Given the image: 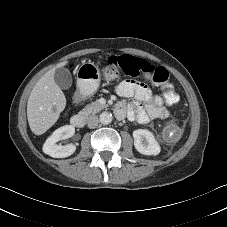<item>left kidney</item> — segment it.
Instances as JSON below:
<instances>
[{
    "instance_id": "1",
    "label": "left kidney",
    "mask_w": 227,
    "mask_h": 227,
    "mask_svg": "<svg viewBox=\"0 0 227 227\" xmlns=\"http://www.w3.org/2000/svg\"><path fill=\"white\" fill-rule=\"evenodd\" d=\"M133 138L134 146L139 153L143 155H158L160 153V145L149 130L137 129L133 131Z\"/></svg>"
}]
</instances>
